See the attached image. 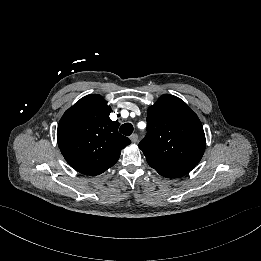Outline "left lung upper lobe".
Returning a JSON list of instances; mask_svg holds the SVG:
<instances>
[{"instance_id":"1","label":"left lung upper lobe","mask_w":261,"mask_h":261,"mask_svg":"<svg viewBox=\"0 0 261 261\" xmlns=\"http://www.w3.org/2000/svg\"><path fill=\"white\" fill-rule=\"evenodd\" d=\"M146 121L147 135L139 148L160 175L181 177L198 164L205 150V134L185 102L164 94L148 108Z\"/></svg>"}]
</instances>
